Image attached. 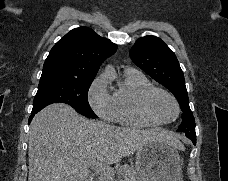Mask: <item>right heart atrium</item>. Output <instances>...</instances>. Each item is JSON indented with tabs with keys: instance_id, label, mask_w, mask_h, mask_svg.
Returning a JSON list of instances; mask_svg holds the SVG:
<instances>
[{
	"instance_id": "right-heart-atrium-1",
	"label": "right heart atrium",
	"mask_w": 228,
	"mask_h": 181,
	"mask_svg": "<svg viewBox=\"0 0 228 181\" xmlns=\"http://www.w3.org/2000/svg\"><path fill=\"white\" fill-rule=\"evenodd\" d=\"M89 102L97 115L105 120H114V106L112 96L105 88L104 78H98L89 92Z\"/></svg>"
}]
</instances>
